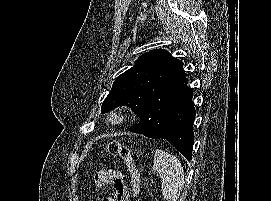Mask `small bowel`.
I'll list each match as a JSON object with an SVG mask.
<instances>
[{
	"mask_svg": "<svg viewBox=\"0 0 271 201\" xmlns=\"http://www.w3.org/2000/svg\"><path fill=\"white\" fill-rule=\"evenodd\" d=\"M95 184L99 188H111L112 194L103 201H129L128 191L120 171L102 170L95 175Z\"/></svg>",
	"mask_w": 271,
	"mask_h": 201,
	"instance_id": "c3829d8e",
	"label": "small bowel"
}]
</instances>
